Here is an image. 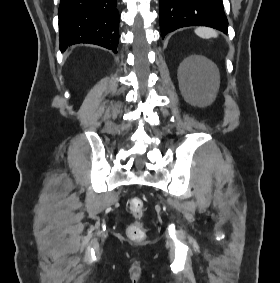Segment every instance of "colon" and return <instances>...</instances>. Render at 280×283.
<instances>
[{
	"instance_id": "1",
	"label": "colon",
	"mask_w": 280,
	"mask_h": 283,
	"mask_svg": "<svg viewBox=\"0 0 280 283\" xmlns=\"http://www.w3.org/2000/svg\"><path fill=\"white\" fill-rule=\"evenodd\" d=\"M130 210L135 220L128 226L127 234L130 238L141 239L144 236V226L142 223L144 202L141 198L134 197L129 202Z\"/></svg>"
}]
</instances>
